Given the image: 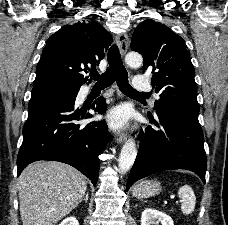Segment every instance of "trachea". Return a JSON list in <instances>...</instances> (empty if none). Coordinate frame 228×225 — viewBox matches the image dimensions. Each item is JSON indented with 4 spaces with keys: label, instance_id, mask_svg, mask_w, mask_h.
<instances>
[{
    "label": "trachea",
    "instance_id": "obj_1",
    "mask_svg": "<svg viewBox=\"0 0 228 225\" xmlns=\"http://www.w3.org/2000/svg\"><path fill=\"white\" fill-rule=\"evenodd\" d=\"M107 59L109 67L106 72L99 75L97 70H91L90 76L97 80L95 87L106 88L112 85L113 82H117L118 87L121 92L125 95L141 96L143 98H148L149 94L145 92H137L128 82V73L121 60L119 49L116 45H112L108 50Z\"/></svg>",
    "mask_w": 228,
    "mask_h": 225
}]
</instances>
